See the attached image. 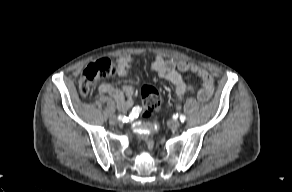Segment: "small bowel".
Wrapping results in <instances>:
<instances>
[{
    "mask_svg": "<svg viewBox=\"0 0 292 192\" xmlns=\"http://www.w3.org/2000/svg\"><path fill=\"white\" fill-rule=\"evenodd\" d=\"M133 65V59L129 56H123L116 60V69L118 74L126 76L130 73ZM152 70L156 71L162 79L168 80L175 86V105H180L185 94L193 90L191 84L183 80L181 73L192 72L197 74L202 80V89L198 92V97L202 101H206L213 92V78L211 74L204 68L196 64L186 61H177L174 59H164L161 56H156L151 63ZM101 93L111 96L120 110H128L132 104V96L134 89L132 86L125 85L122 88H117L107 82H102L99 86Z\"/></svg>",
    "mask_w": 292,
    "mask_h": 192,
    "instance_id": "1",
    "label": "small bowel"
}]
</instances>
